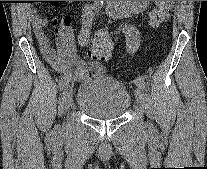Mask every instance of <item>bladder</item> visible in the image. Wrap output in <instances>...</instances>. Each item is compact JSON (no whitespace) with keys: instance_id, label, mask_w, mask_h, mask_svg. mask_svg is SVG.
Returning <instances> with one entry per match:
<instances>
[{"instance_id":"31cf9c89","label":"bladder","mask_w":207,"mask_h":169,"mask_svg":"<svg viewBox=\"0 0 207 169\" xmlns=\"http://www.w3.org/2000/svg\"><path fill=\"white\" fill-rule=\"evenodd\" d=\"M76 105L81 112L91 118L117 119L129 109L131 95L120 81L110 76L98 75L80 84Z\"/></svg>"}]
</instances>
